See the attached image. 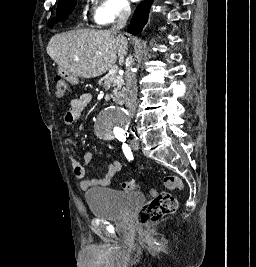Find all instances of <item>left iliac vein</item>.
<instances>
[{
	"label": "left iliac vein",
	"instance_id": "obj_1",
	"mask_svg": "<svg viewBox=\"0 0 256 267\" xmlns=\"http://www.w3.org/2000/svg\"><path fill=\"white\" fill-rule=\"evenodd\" d=\"M131 147H132V149H134L136 151L139 149V143H138L137 139H133L131 141Z\"/></svg>",
	"mask_w": 256,
	"mask_h": 267
}]
</instances>
